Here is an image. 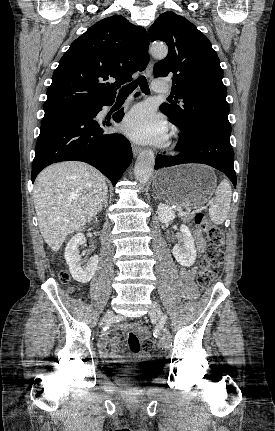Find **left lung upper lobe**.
<instances>
[{
    "instance_id": "5c2ea615",
    "label": "left lung upper lobe",
    "mask_w": 275,
    "mask_h": 431,
    "mask_svg": "<svg viewBox=\"0 0 275 431\" xmlns=\"http://www.w3.org/2000/svg\"><path fill=\"white\" fill-rule=\"evenodd\" d=\"M150 41H164L169 51L154 66L156 77L172 79L177 102L160 110L182 132L231 133L223 70L208 38L186 18L167 11L149 29Z\"/></svg>"
}]
</instances>
